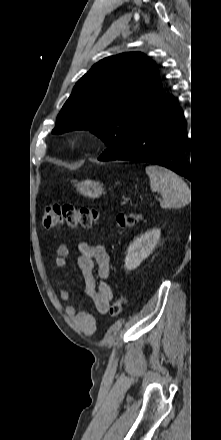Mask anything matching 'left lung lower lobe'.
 <instances>
[{
	"instance_id": "left-lung-lower-lobe-1",
	"label": "left lung lower lobe",
	"mask_w": 221,
	"mask_h": 440,
	"mask_svg": "<svg viewBox=\"0 0 221 440\" xmlns=\"http://www.w3.org/2000/svg\"><path fill=\"white\" fill-rule=\"evenodd\" d=\"M186 129L179 103L172 95L163 93L140 117L127 150L115 160L158 164L192 182V170L186 160V149L190 145ZM98 160L102 161L101 157Z\"/></svg>"
}]
</instances>
